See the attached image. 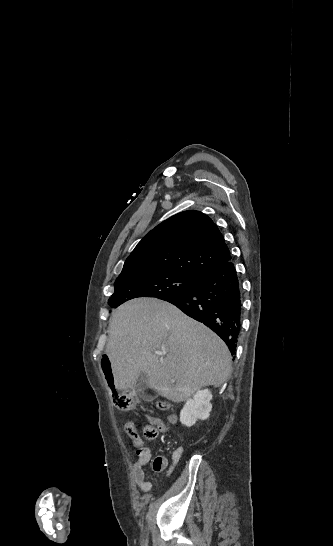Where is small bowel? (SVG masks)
<instances>
[{"label": "small bowel", "instance_id": "1", "mask_svg": "<svg viewBox=\"0 0 333 546\" xmlns=\"http://www.w3.org/2000/svg\"><path fill=\"white\" fill-rule=\"evenodd\" d=\"M153 423L158 427V429L162 433H167L169 431L166 424L161 421L158 418L152 419ZM133 446L136 449L137 453V460L135 461L133 465V472H134V478L137 483L138 488L143 492H148L151 489V483L147 479L145 474V468L150 462L152 461L151 451L150 449L145 445L144 441L141 439V437L138 435L137 431H135L134 435H129ZM184 449L182 447H178L172 455V465H176L182 455H183ZM168 466V460L163 455L157 456L152 461V469L156 472L163 471Z\"/></svg>", "mask_w": 333, "mask_h": 546}]
</instances>
